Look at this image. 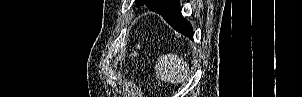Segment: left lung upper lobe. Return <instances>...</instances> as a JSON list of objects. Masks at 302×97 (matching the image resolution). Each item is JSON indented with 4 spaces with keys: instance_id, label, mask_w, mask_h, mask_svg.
<instances>
[{
    "instance_id": "obj_1",
    "label": "left lung upper lobe",
    "mask_w": 302,
    "mask_h": 97,
    "mask_svg": "<svg viewBox=\"0 0 302 97\" xmlns=\"http://www.w3.org/2000/svg\"><path fill=\"white\" fill-rule=\"evenodd\" d=\"M148 0H136L137 7H140L147 3Z\"/></svg>"
}]
</instances>
